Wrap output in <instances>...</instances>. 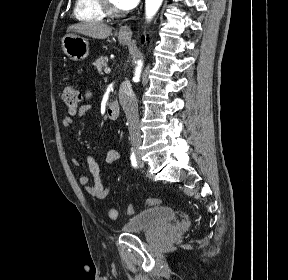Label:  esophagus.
Here are the masks:
<instances>
[{
	"label": "esophagus",
	"mask_w": 288,
	"mask_h": 280,
	"mask_svg": "<svg viewBox=\"0 0 288 280\" xmlns=\"http://www.w3.org/2000/svg\"><path fill=\"white\" fill-rule=\"evenodd\" d=\"M119 37L130 39L132 37V30L128 23L123 24L118 31Z\"/></svg>",
	"instance_id": "esophagus-1"
}]
</instances>
